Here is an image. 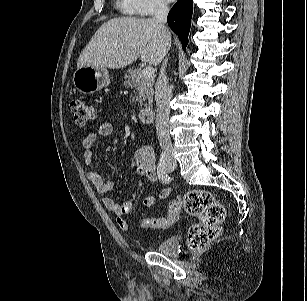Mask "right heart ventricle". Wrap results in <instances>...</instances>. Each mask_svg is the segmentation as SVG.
<instances>
[{"label":"right heart ventricle","instance_id":"1","mask_svg":"<svg viewBox=\"0 0 307 301\" xmlns=\"http://www.w3.org/2000/svg\"><path fill=\"white\" fill-rule=\"evenodd\" d=\"M122 2V5L124 6L125 5V0H120Z\"/></svg>","mask_w":307,"mask_h":301}]
</instances>
